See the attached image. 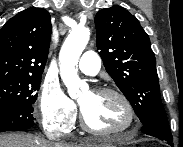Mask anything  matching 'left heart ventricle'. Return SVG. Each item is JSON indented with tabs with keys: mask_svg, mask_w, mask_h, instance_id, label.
Returning a JSON list of instances; mask_svg holds the SVG:
<instances>
[{
	"mask_svg": "<svg viewBox=\"0 0 183 147\" xmlns=\"http://www.w3.org/2000/svg\"><path fill=\"white\" fill-rule=\"evenodd\" d=\"M88 123L96 129H118L127 124L128 115L122 102L112 95H98L91 91L79 99Z\"/></svg>",
	"mask_w": 183,
	"mask_h": 147,
	"instance_id": "obj_1",
	"label": "left heart ventricle"
}]
</instances>
